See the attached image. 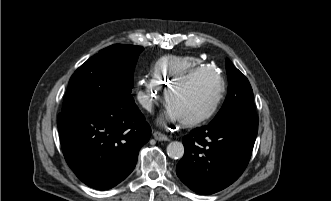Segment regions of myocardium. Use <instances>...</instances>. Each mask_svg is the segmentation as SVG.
I'll return each instance as SVG.
<instances>
[{
  "instance_id": "f54148a6",
  "label": "myocardium",
  "mask_w": 331,
  "mask_h": 201,
  "mask_svg": "<svg viewBox=\"0 0 331 201\" xmlns=\"http://www.w3.org/2000/svg\"><path fill=\"white\" fill-rule=\"evenodd\" d=\"M202 73H212L216 76V78L219 81V91L216 97L214 98V100L205 110L189 118H179V120L185 125H194L212 116L219 107L226 91V85L223 76L218 72H216V70L209 68L207 66H203L201 68L191 70L187 75H185L182 78V80L177 86L168 89L166 93L167 105L171 107L172 97L177 90H179L182 87H186L194 78H196L199 74Z\"/></svg>"
}]
</instances>
